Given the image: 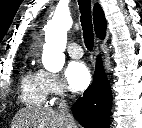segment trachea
<instances>
[{
	"mask_svg": "<svg viewBox=\"0 0 142 128\" xmlns=\"http://www.w3.org/2000/svg\"><path fill=\"white\" fill-rule=\"evenodd\" d=\"M79 9L81 13V26L83 30L84 43L89 51L93 50L94 33L91 16V2L90 0H78Z\"/></svg>",
	"mask_w": 142,
	"mask_h": 128,
	"instance_id": "trachea-1",
	"label": "trachea"
}]
</instances>
